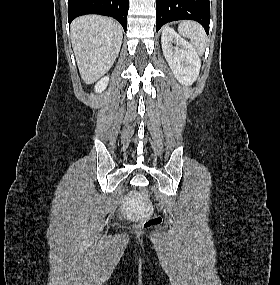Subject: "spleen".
I'll use <instances>...</instances> for the list:
<instances>
[{
    "label": "spleen",
    "mask_w": 280,
    "mask_h": 285,
    "mask_svg": "<svg viewBox=\"0 0 280 285\" xmlns=\"http://www.w3.org/2000/svg\"><path fill=\"white\" fill-rule=\"evenodd\" d=\"M179 33L190 40L193 48L202 55L206 46L204 29L196 22L184 21L178 26Z\"/></svg>",
    "instance_id": "1"
}]
</instances>
